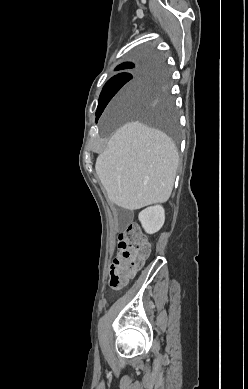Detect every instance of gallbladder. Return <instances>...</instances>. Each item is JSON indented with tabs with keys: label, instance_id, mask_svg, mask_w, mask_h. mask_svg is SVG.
I'll list each match as a JSON object with an SVG mask.
<instances>
[{
	"label": "gallbladder",
	"instance_id": "bac80fb5",
	"mask_svg": "<svg viewBox=\"0 0 248 389\" xmlns=\"http://www.w3.org/2000/svg\"><path fill=\"white\" fill-rule=\"evenodd\" d=\"M131 219V213L128 211H124L123 214L121 215V223L123 225L127 224Z\"/></svg>",
	"mask_w": 248,
	"mask_h": 389
}]
</instances>
